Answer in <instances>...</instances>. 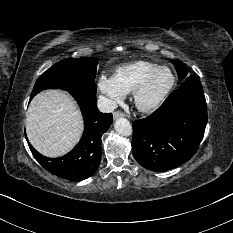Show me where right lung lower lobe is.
Here are the masks:
<instances>
[{
  "label": "right lung lower lobe",
  "mask_w": 233,
  "mask_h": 233,
  "mask_svg": "<svg viewBox=\"0 0 233 233\" xmlns=\"http://www.w3.org/2000/svg\"><path fill=\"white\" fill-rule=\"evenodd\" d=\"M70 94L78 102L84 118V134L77 146L59 158H47L38 153L30 143L36 160L50 173L71 181H81L92 176L101 161L100 140L112 124V114L99 112L96 92L73 90Z\"/></svg>",
  "instance_id": "right-lung-lower-lobe-1"
}]
</instances>
